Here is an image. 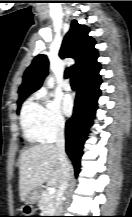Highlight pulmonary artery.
Returning <instances> with one entry per match:
<instances>
[{"label":"pulmonary artery","instance_id":"obj_1","mask_svg":"<svg viewBox=\"0 0 132 217\" xmlns=\"http://www.w3.org/2000/svg\"><path fill=\"white\" fill-rule=\"evenodd\" d=\"M63 89L65 91H70L71 90V85H70V83L68 81L63 82Z\"/></svg>","mask_w":132,"mask_h":217}]
</instances>
